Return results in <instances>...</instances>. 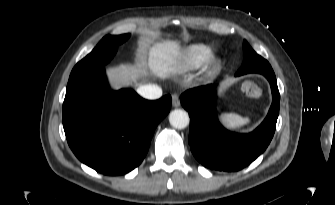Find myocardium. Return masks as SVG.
Segmentation results:
<instances>
[{
	"instance_id": "f54148a6",
	"label": "myocardium",
	"mask_w": 335,
	"mask_h": 205,
	"mask_svg": "<svg viewBox=\"0 0 335 205\" xmlns=\"http://www.w3.org/2000/svg\"><path fill=\"white\" fill-rule=\"evenodd\" d=\"M221 69V61L217 57H210L209 60L206 62L204 76L206 78H211L218 74Z\"/></svg>"
}]
</instances>
